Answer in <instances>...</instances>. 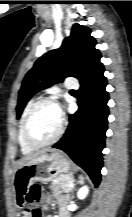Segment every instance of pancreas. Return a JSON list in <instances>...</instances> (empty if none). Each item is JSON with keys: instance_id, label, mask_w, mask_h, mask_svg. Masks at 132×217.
I'll list each match as a JSON object with an SVG mask.
<instances>
[{"instance_id": "cf45deb5", "label": "pancreas", "mask_w": 132, "mask_h": 217, "mask_svg": "<svg viewBox=\"0 0 132 217\" xmlns=\"http://www.w3.org/2000/svg\"><path fill=\"white\" fill-rule=\"evenodd\" d=\"M74 182V178L73 175L71 174H61L58 177H56L55 179H53L52 184L54 186L59 187L62 192L68 193L72 190V187H69L70 183Z\"/></svg>"}]
</instances>
